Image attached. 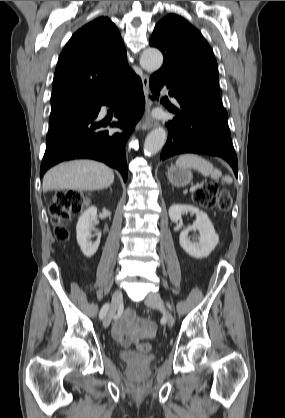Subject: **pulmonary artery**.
Listing matches in <instances>:
<instances>
[{
    "label": "pulmonary artery",
    "instance_id": "e3ab8cb5",
    "mask_svg": "<svg viewBox=\"0 0 285 418\" xmlns=\"http://www.w3.org/2000/svg\"><path fill=\"white\" fill-rule=\"evenodd\" d=\"M169 97H170L171 99H173V100H174V97H173V95L169 94Z\"/></svg>",
    "mask_w": 285,
    "mask_h": 418
}]
</instances>
